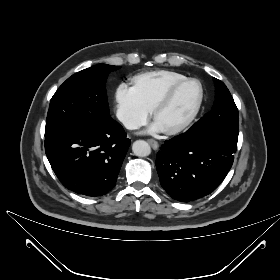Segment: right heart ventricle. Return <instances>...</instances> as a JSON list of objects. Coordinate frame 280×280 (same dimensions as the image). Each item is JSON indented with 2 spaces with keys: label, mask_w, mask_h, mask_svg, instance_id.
<instances>
[{
  "label": "right heart ventricle",
  "mask_w": 280,
  "mask_h": 280,
  "mask_svg": "<svg viewBox=\"0 0 280 280\" xmlns=\"http://www.w3.org/2000/svg\"><path fill=\"white\" fill-rule=\"evenodd\" d=\"M185 78H187L185 75L175 71L155 70L135 75L132 82L143 103L152 109L170 85Z\"/></svg>",
  "instance_id": "right-heart-ventricle-1"
}]
</instances>
